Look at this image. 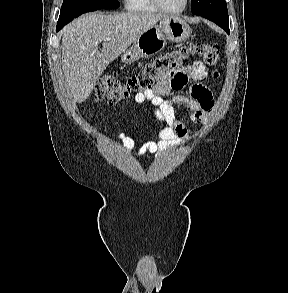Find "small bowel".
Wrapping results in <instances>:
<instances>
[{"label": "small bowel", "mask_w": 288, "mask_h": 293, "mask_svg": "<svg viewBox=\"0 0 288 293\" xmlns=\"http://www.w3.org/2000/svg\"><path fill=\"white\" fill-rule=\"evenodd\" d=\"M206 77L205 66L201 62H193L161 75L154 87L135 95L136 103L152 104L153 115L160 128L159 141L145 142L135 153L136 157L146 153L158 154L168 145L180 144L188 139V130L176 114L177 105L185 108V112L193 123L201 125L207 123L214 108V98L210 90L201 83ZM191 79L195 83L190 87V95L180 93ZM171 92H178V94L167 97ZM118 137L126 150L134 149L135 142L131 137L123 133H120Z\"/></svg>", "instance_id": "1"}]
</instances>
